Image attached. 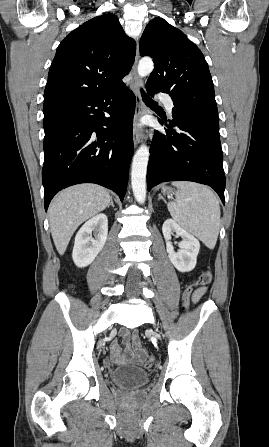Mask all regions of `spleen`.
<instances>
[{
    "mask_svg": "<svg viewBox=\"0 0 269 447\" xmlns=\"http://www.w3.org/2000/svg\"><path fill=\"white\" fill-rule=\"evenodd\" d=\"M179 192L167 208L175 222L214 249L220 229V206L208 186L194 182H172Z\"/></svg>",
    "mask_w": 269,
    "mask_h": 447,
    "instance_id": "1",
    "label": "spleen"
}]
</instances>
